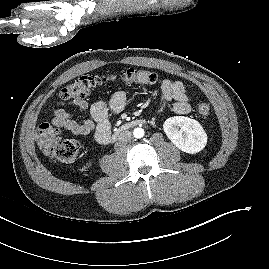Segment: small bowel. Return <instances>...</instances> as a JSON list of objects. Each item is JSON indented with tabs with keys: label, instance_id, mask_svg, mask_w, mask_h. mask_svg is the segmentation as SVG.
I'll return each mask as SVG.
<instances>
[{
	"label": "small bowel",
	"instance_id": "obj_1",
	"mask_svg": "<svg viewBox=\"0 0 269 269\" xmlns=\"http://www.w3.org/2000/svg\"><path fill=\"white\" fill-rule=\"evenodd\" d=\"M125 91L115 92L108 102L98 101L88 105L86 100L73 102L81 112L89 110L90 119L78 121L64 108V103H59L54 111L52 123L54 126L64 128L77 136H85L94 132L95 139L100 144H107L110 140L111 127L109 116L111 113L121 112L126 105ZM170 109L178 115H185L191 111L189 97L185 86L180 81L164 79L161 85V101L159 112Z\"/></svg>",
	"mask_w": 269,
	"mask_h": 269
}]
</instances>
